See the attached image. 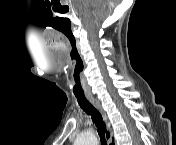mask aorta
I'll return each instance as SVG.
<instances>
[{"label": "aorta", "mask_w": 176, "mask_h": 145, "mask_svg": "<svg viewBox=\"0 0 176 145\" xmlns=\"http://www.w3.org/2000/svg\"><path fill=\"white\" fill-rule=\"evenodd\" d=\"M76 143L83 145H96L98 142L95 135H93L92 133H86L84 135L79 136Z\"/></svg>", "instance_id": "aorta-1"}]
</instances>
